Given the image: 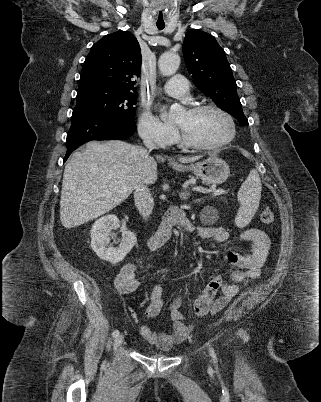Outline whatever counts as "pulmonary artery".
<instances>
[{
  "label": "pulmonary artery",
  "mask_w": 321,
  "mask_h": 402,
  "mask_svg": "<svg viewBox=\"0 0 321 402\" xmlns=\"http://www.w3.org/2000/svg\"><path fill=\"white\" fill-rule=\"evenodd\" d=\"M163 91L172 97L189 98L188 82L181 75H175L168 80L163 86Z\"/></svg>",
  "instance_id": "1"
}]
</instances>
